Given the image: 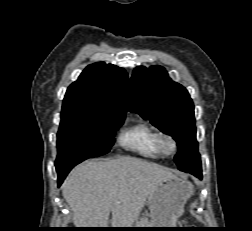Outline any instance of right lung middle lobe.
Here are the masks:
<instances>
[{
	"label": "right lung middle lobe",
	"instance_id": "obj_1",
	"mask_svg": "<svg viewBox=\"0 0 252 231\" xmlns=\"http://www.w3.org/2000/svg\"><path fill=\"white\" fill-rule=\"evenodd\" d=\"M125 115L86 109H62L57 133L56 169L108 153Z\"/></svg>",
	"mask_w": 252,
	"mask_h": 231
}]
</instances>
